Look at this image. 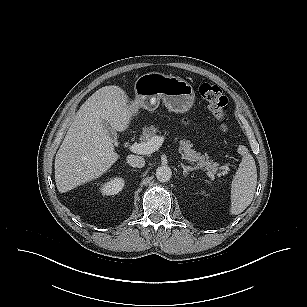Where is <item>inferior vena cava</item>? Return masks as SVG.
<instances>
[{
  "label": "inferior vena cava",
  "instance_id": "602c4592",
  "mask_svg": "<svg viewBox=\"0 0 307 307\" xmlns=\"http://www.w3.org/2000/svg\"><path fill=\"white\" fill-rule=\"evenodd\" d=\"M126 160L130 166L135 168H142L145 165L144 158L138 155H128Z\"/></svg>",
  "mask_w": 307,
  "mask_h": 307
}]
</instances>
